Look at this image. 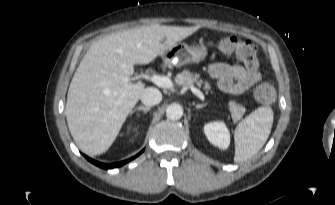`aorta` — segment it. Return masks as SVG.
Here are the masks:
<instances>
[{
    "label": "aorta",
    "instance_id": "762f6f07",
    "mask_svg": "<svg viewBox=\"0 0 335 205\" xmlns=\"http://www.w3.org/2000/svg\"><path fill=\"white\" fill-rule=\"evenodd\" d=\"M183 115V108L178 103L170 104L166 109V116L171 120H179Z\"/></svg>",
    "mask_w": 335,
    "mask_h": 205
}]
</instances>
